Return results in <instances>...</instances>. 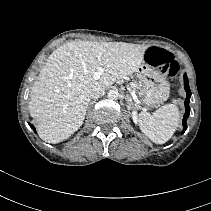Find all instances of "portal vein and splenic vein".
I'll return each mask as SVG.
<instances>
[{
  "label": "portal vein and splenic vein",
  "mask_w": 211,
  "mask_h": 211,
  "mask_svg": "<svg viewBox=\"0 0 211 211\" xmlns=\"http://www.w3.org/2000/svg\"><path fill=\"white\" fill-rule=\"evenodd\" d=\"M104 73V69L102 67H100L93 75L95 80H98ZM130 93L132 95L133 98L136 97L135 91L134 90H130Z\"/></svg>",
  "instance_id": "1"
}]
</instances>
